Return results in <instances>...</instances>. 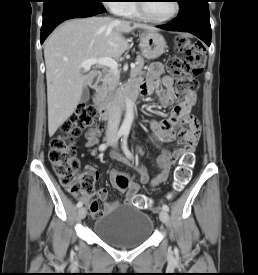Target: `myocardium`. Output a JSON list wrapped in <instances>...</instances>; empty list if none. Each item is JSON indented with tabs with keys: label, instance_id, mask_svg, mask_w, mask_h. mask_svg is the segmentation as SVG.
I'll list each match as a JSON object with an SVG mask.
<instances>
[{
	"label": "myocardium",
	"instance_id": "obj_1",
	"mask_svg": "<svg viewBox=\"0 0 258 275\" xmlns=\"http://www.w3.org/2000/svg\"><path fill=\"white\" fill-rule=\"evenodd\" d=\"M138 2H141V1H138ZM174 5H175V10H174L173 14L166 18H162V19H157V18L150 16L146 10V6L144 3H137L136 8H137L138 12L140 13V15L143 16L145 19H147L153 23H165V22L173 20L180 13L179 1L174 0Z\"/></svg>",
	"mask_w": 258,
	"mask_h": 275
}]
</instances>
